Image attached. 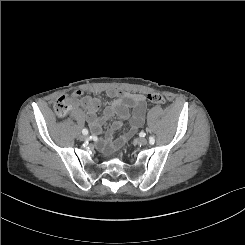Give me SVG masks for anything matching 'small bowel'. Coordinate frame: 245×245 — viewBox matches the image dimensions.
<instances>
[{"label":"small bowel","instance_id":"1","mask_svg":"<svg viewBox=\"0 0 245 245\" xmlns=\"http://www.w3.org/2000/svg\"><path fill=\"white\" fill-rule=\"evenodd\" d=\"M76 93L82 94L81 91ZM106 93L112 99V102L105 106L102 116L97 115L100 103L95 96L84 97L81 104L86 110V119L95 135L101 132L102 125L106 121L114 116L119 118L112 123L111 132L100 143V146L105 149L120 143L113 144L112 133L121 129L125 121L129 120L130 134L136 132L143 124L146 112L145 97L142 94L114 88L108 89Z\"/></svg>","mask_w":245,"mask_h":245}]
</instances>
